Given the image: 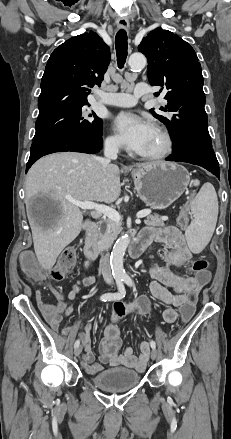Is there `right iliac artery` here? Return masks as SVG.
Instances as JSON below:
<instances>
[{"label": "right iliac artery", "instance_id": "82829eb1", "mask_svg": "<svg viewBox=\"0 0 231 439\" xmlns=\"http://www.w3.org/2000/svg\"><path fill=\"white\" fill-rule=\"evenodd\" d=\"M116 283H117V286H118V292L103 294L100 297L101 301L106 302V301L120 300V299H122L125 296L126 292H125V287H124V284H123V279H121V278L116 279ZM79 344H80V341L76 340V342L74 344V347L75 348L78 347Z\"/></svg>", "mask_w": 231, "mask_h": 439}]
</instances>
